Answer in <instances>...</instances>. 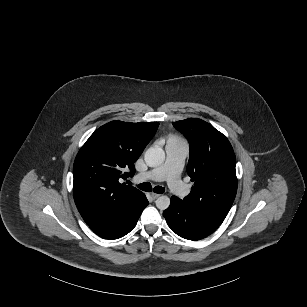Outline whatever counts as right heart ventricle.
Segmentation results:
<instances>
[{"label": "right heart ventricle", "instance_id": "right-heart-ventricle-1", "mask_svg": "<svg viewBox=\"0 0 307 307\" xmlns=\"http://www.w3.org/2000/svg\"><path fill=\"white\" fill-rule=\"evenodd\" d=\"M168 146H173V147H175L173 143L169 144Z\"/></svg>", "mask_w": 307, "mask_h": 307}]
</instances>
